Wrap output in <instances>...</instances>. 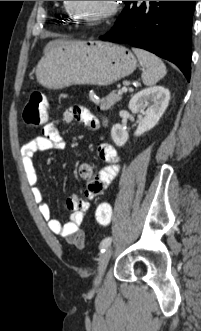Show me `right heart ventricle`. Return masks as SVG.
<instances>
[{
	"label": "right heart ventricle",
	"instance_id": "1",
	"mask_svg": "<svg viewBox=\"0 0 201 331\" xmlns=\"http://www.w3.org/2000/svg\"><path fill=\"white\" fill-rule=\"evenodd\" d=\"M67 13H68L69 17H71V18L74 17V12L72 9L70 11L67 10Z\"/></svg>",
	"mask_w": 201,
	"mask_h": 331
}]
</instances>
